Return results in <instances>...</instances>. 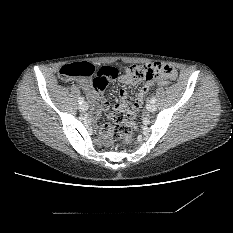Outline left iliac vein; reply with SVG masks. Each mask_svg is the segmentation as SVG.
<instances>
[{
    "mask_svg": "<svg viewBox=\"0 0 233 233\" xmlns=\"http://www.w3.org/2000/svg\"><path fill=\"white\" fill-rule=\"evenodd\" d=\"M146 109L148 112H154L156 110V106L155 104L153 103H149L147 106H146Z\"/></svg>",
    "mask_w": 233,
    "mask_h": 233,
    "instance_id": "1",
    "label": "left iliac vein"
}]
</instances>
